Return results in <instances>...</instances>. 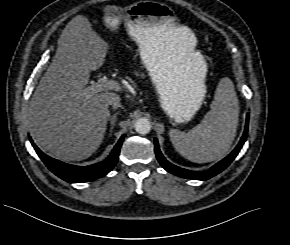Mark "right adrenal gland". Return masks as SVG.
Returning <instances> with one entry per match:
<instances>
[{"label":"right adrenal gland","instance_id":"1","mask_svg":"<svg viewBox=\"0 0 290 245\" xmlns=\"http://www.w3.org/2000/svg\"><path fill=\"white\" fill-rule=\"evenodd\" d=\"M115 122H116V114L111 115V117H110L111 128L114 127Z\"/></svg>","mask_w":290,"mask_h":245}]
</instances>
